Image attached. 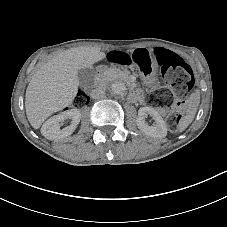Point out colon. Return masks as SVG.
I'll list each match as a JSON object with an SVG mask.
<instances>
[{"label": "colon", "mask_w": 227, "mask_h": 227, "mask_svg": "<svg viewBox=\"0 0 227 227\" xmlns=\"http://www.w3.org/2000/svg\"><path fill=\"white\" fill-rule=\"evenodd\" d=\"M110 62L140 69L147 74L152 71L154 65L161 68L164 77L171 85L172 90L161 89L149 97L150 104L159 109L172 107L178 101L188 97L194 89V78L191 67L177 54L165 50L156 49L154 59L141 52L132 53L111 52L107 55ZM89 102V96L84 88H81L73 100L75 107H83ZM182 118L180 111H174L167 117V125L175 130Z\"/></svg>", "instance_id": "5ec220e1"}]
</instances>
